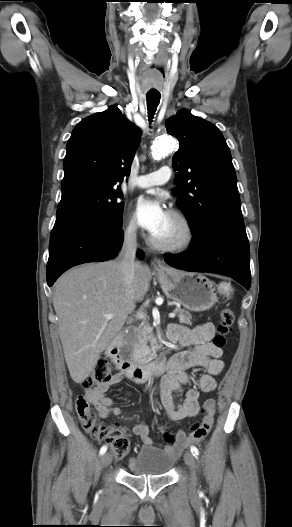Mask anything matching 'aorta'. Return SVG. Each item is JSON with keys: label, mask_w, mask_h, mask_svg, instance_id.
Segmentation results:
<instances>
[{"label": "aorta", "mask_w": 292, "mask_h": 527, "mask_svg": "<svg viewBox=\"0 0 292 527\" xmlns=\"http://www.w3.org/2000/svg\"><path fill=\"white\" fill-rule=\"evenodd\" d=\"M174 148L173 139L170 136H163L155 140L152 148V155L155 159L170 153Z\"/></svg>", "instance_id": "762f6f07"}]
</instances>
